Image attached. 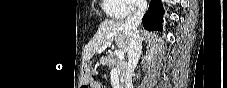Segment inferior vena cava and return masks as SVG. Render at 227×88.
Returning <instances> with one entry per match:
<instances>
[{"label":"inferior vena cava","mask_w":227,"mask_h":88,"mask_svg":"<svg viewBox=\"0 0 227 88\" xmlns=\"http://www.w3.org/2000/svg\"><path fill=\"white\" fill-rule=\"evenodd\" d=\"M138 9L129 16L124 25L128 30V66L125 78V88H133L132 74L136 68L141 52H142V39L138 27L147 9L146 0H140L137 4Z\"/></svg>","instance_id":"inferior-vena-cava-1"}]
</instances>
